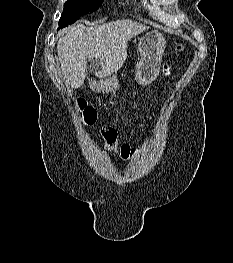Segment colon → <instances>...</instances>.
Returning <instances> with one entry per match:
<instances>
[{
	"label": "colon",
	"instance_id": "colon-1",
	"mask_svg": "<svg viewBox=\"0 0 233 263\" xmlns=\"http://www.w3.org/2000/svg\"><path fill=\"white\" fill-rule=\"evenodd\" d=\"M182 46H178V49L181 50ZM80 110L83 112L84 119L89 125H93L96 121L97 114L93 107L87 106L85 102L79 103ZM101 136L104 140L105 147L118 154L121 159L127 160L135 154V148L131 147L128 144H120L117 140V132L112 127H103L101 129Z\"/></svg>",
	"mask_w": 233,
	"mask_h": 263
}]
</instances>
